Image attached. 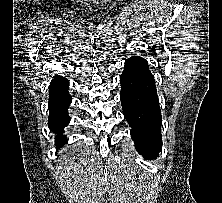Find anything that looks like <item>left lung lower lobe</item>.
<instances>
[{
    "label": "left lung lower lobe",
    "mask_w": 222,
    "mask_h": 203,
    "mask_svg": "<svg viewBox=\"0 0 222 203\" xmlns=\"http://www.w3.org/2000/svg\"><path fill=\"white\" fill-rule=\"evenodd\" d=\"M120 84L123 114L136 150L146 159L156 158L162 146L161 111L147 61L139 56L127 59Z\"/></svg>",
    "instance_id": "1"
}]
</instances>
